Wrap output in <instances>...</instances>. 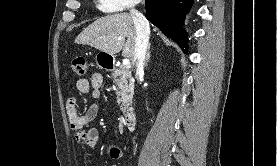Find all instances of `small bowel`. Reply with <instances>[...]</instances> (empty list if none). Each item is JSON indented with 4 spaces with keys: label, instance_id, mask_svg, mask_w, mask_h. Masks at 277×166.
I'll use <instances>...</instances> for the list:
<instances>
[{
    "label": "small bowel",
    "instance_id": "c3829d8e",
    "mask_svg": "<svg viewBox=\"0 0 277 166\" xmlns=\"http://www.w3.org/2000/svg\"><path fill=\"white\" fill-rule=\"evenodd\" d=\"M102 85L103 76L100 73H93L89 79H79L76 82V89L80 95L86 96L91 94L95 100L83 114L77 113L74 99H70L67 102L70 127L75 131V137L82 145L83 149L85 147L95 149L100 140L99 132L97 129L91 127V122L98 112V104L96 101L101 96ZM108 155L112 158H119L122 152L119 148L110 146L108 148ZM90 159V162H94L93 156H90ZM85 166H87V164Z\"/></svg>",
    "mask_w": 277,
    "mask_h": 166
}]
</instances>
